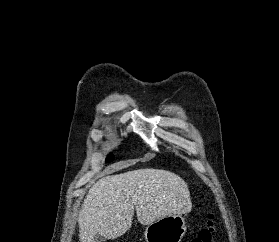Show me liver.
I'll return each instance as SVG.
<instances>
[{
    "mask_svg": "<svg viewBox=\"0 0 279 242\" xmlns=\"http://www.w3.org/2000/svg\"><path fill=\"white\" fill-rule=\"evenodd\" d=\"M149 225L168 215L191 211L186 182L162 169H138L98 180L88 191L79 212L80 242H94L95 235L115 239L126 233L133 220Z\"/></svg>",
    "mask_w": 279,
    "mask_h": 242,
    "instance_id": "obj_1",
    "label": "liver"
}]
</instances>
